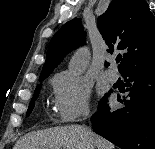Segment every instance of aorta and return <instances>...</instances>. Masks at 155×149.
I'll list each match as a JSON object with an SVG mask.
<instances>
[{
	"label": "aorta",
	"instance_id": "762f6f07",
	"mask_svg": "<svg viewBox=\"0 0 155 149\" xmlns=\"http://www.w3.org/2000/svg\"><path fill=\"white\" fill-rule=\"evenodd\" d=\"M88 60V53L86 49L78 50L71 58L68 71L71 75L79 76L82 75L86 69Z\"/></svg>",
	"mask_w": 155,
	"mask_h": 149
}]
</instances>
